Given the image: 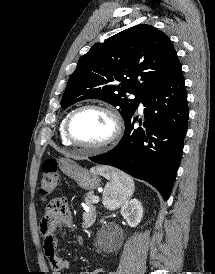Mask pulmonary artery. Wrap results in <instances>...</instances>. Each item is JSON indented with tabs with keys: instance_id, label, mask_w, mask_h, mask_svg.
Returning <instances> with one entry per match:
<instances>
[{
	"instance_id": "e3ab8cb5",
	"label": "pulmonary artery",
	"mask_w": 215,
	"mask_h": 274,
	"mask_svg": "<svg viewBox=\"0 0 215 274\" xmlns=\"http://www.w3.org/2000/svg\"><path fill=\"white\" fill-rule=\"evenodd\" d=\"M140 108L143 109V104L142 103L140 104Z\"/></svg>"
}]
</instances>
